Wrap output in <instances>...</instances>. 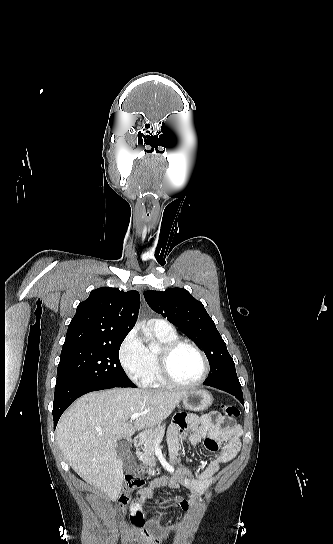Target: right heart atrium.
<instances>
[{"label":"right heart atrium","instance_id":"right-heart-atrium-1","mask_svg":"<svg viewBox=\"0 0 333 544\" xmlns=\"http://www.w3.org/2000/svg\"><path fill=\"white\" fill-rule=\"evenodd\" d=\"M118 359L128 378L141 383L146 369V346L135 330H131L121 342Z\"/></svg>","mask_w":333,"mask_h":544}]
</instances>
